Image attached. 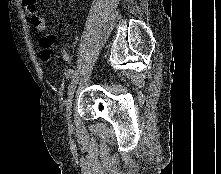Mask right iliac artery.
<instances>
[{"label": "right iliac artery", "instance_id": "obj_1", "mask_svg": "<svg viewBox=\"0 0 221 174\" xmlns=\"http://www.w3.org/2000/svg\"><path fill=\"white\" fill-rule=\"evenodd\" d=\"M74 74V70L73 69H68L66 72H65V76L67 79L71 78Z\"/></svg>", "mask_w": 221, "mask_h": 174}]
</instances>
